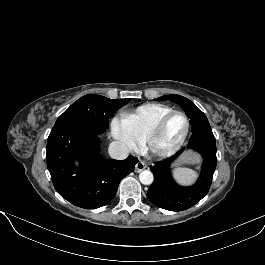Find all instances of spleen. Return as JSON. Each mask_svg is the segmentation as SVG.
Wrapping results in <instances>:
<instances>
[{"mask_svg": "<svg viewBox=\"0 0 265 265\" xmlns=\"http://www.w3.org/2000/svg\"><path fill=\"white\" fill-rule=\"evenodd\" d=\"M173 174L180 183H190L197 177V173L194 170L182 167L175 168Z\"/></svg>", "mask_w": 265, "mask_h": 265, "instance_id": "1", "label": "spleen"}]
</instances>
